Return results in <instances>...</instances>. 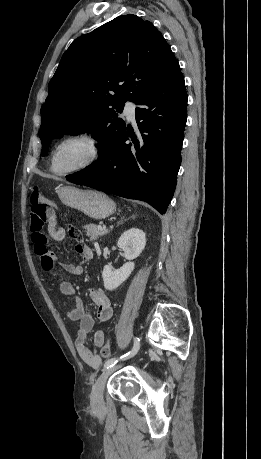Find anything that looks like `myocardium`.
<instances>
[{
    "instance_id": "1",
    "label": "myocardium",
    "mask_w": 261,
    "mask_h": 459,
    "mask_svg": "<svg viewBox=\"0 0 261 459\" xmlns=\"http://www.w3.org/2000/svg\"><path fill=\"white\" fill-rule=\"evenodd\" d=\"M72 141L83 142L87 147V155L85 159L76 166L64 171H57L53 167V159L56 152L64 144ZM101 152L102 149L100 141L93 134L88 132L69 133L59 138L51 147L48 155V169L51 173L57 176H68L71 174H75L92 167L99 160Z\"/></svg>"
}]
</instances>
